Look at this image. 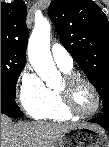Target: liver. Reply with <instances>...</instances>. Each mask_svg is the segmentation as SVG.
<instances>
[{
    "label": "liver",
    "mask_w": 109,
    "mask_h": 147,
    "mask_svg": "<svg viewBox=\"0 0 109 147\" xmlns=\"http://www.w3.org/2000/svg\"><path fill=\"white\" fill-rule=\"evenodd\" d=\"M90 127L103 130L97 124L19 122L12 123L7 116H1V147H53L67 131L73 128Z\"/></svg>",
    "instance_id": "6515ba94"
}]
</instances>
